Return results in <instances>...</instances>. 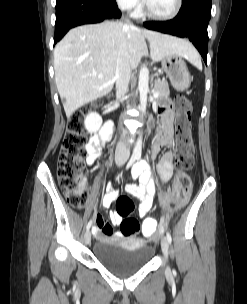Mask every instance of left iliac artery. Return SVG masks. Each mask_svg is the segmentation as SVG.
<instances>
[{"label":"left iliac artery","instance_id":"44dca946","mask_svg":"<svg viewBox=\"0 0 247 304\" xmlns=\"http://www.w3.org/2000/svg\"><path fill=\"white\" fill-rule=\"evenodd\" d=\"M137 160H139V158H137ZM166 238H167L168 242L171 243L172 238H171V235L169 232L166 233Z\"/></svg>","mask_w":247,"mask_h":304}]
</instances>
